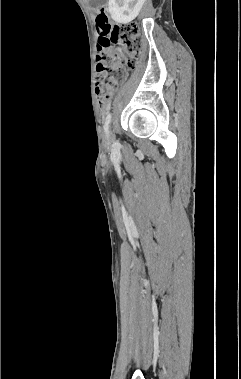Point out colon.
Listing matches in <instances>:
<instances>
[{
    "mask_svg": "<svg viewBox=\"0 0 241 379\" xmlns=\"http://www.w3.org/2000/svg\"><path fill=\"white\" fill-rule=\"evenodd\" d=\"M96 22L102 37L96 59L95 89L100 104L107 105L118 78L124 74V67H134L140 52L141 40L136 23L111 26L105 6L96 9Z\"/></svg>",
    "mask_w": 241,
    "mask_h": 379,
    "instance_id": "colon-1",
    "label": "colon"
}]
</instances>
